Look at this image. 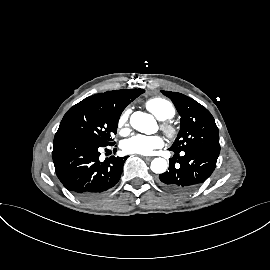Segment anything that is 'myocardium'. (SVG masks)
Returning a JSON list of instances; mask_svg holds the SVG:
<instances>
[{"instance_id": "myocardium-1", "label": "myocardium", "mask_w": 270, "mask_h": 270, "mask_svg": "<svg viewBox=\"0 0 270 270\" xmlns=\"http://www.w3.org/2000/svg\"><path fill=\"white\" fill-rule=\"evenodd\" d=\"M161 128L164 131V133L170 138L176 137L178 133L177 127L168 121L163 122Z\"/></svg>"}]
</instances>
